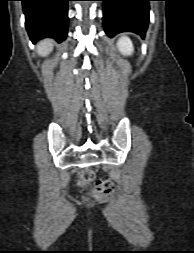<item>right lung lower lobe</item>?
<instances>
[{"label": "right lung lower lobe", "instance_id": "1", "mask_svg": "<svg viewBox=\"0 0 194 253\" xmlns=\"http://www.w3.org/2000/svg\"><path fill=\"white\" fill-rule=\"evenodd\" d=\"M20 1L23 3L26 29L33 42L44 37H52L57 41L66 38L70 0Z\"/></svg>", "mask_w": 194, "mask_h": 253}]
</instances>
